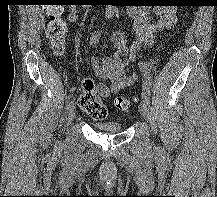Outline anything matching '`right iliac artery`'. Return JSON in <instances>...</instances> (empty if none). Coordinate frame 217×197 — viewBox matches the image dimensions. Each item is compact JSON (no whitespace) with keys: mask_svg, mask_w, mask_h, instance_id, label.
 <instances>
[{"mask_svg":"<svg viewBox=\"0 0 217 197\" xmlns=\"http://www.w3.org/2000/svg\"><path fill=\"white\" fill-rule=\"evenodd\" d=\"M74 107H75V101L72 100V101H70V102L68 103L67 109L70 110V109H72V108H74Z\"/></svg>","mask_w":217,"mask_h":197,"instance_id":"right-iliac-artery-1","label":"right iliac artery"}]
</instances>
